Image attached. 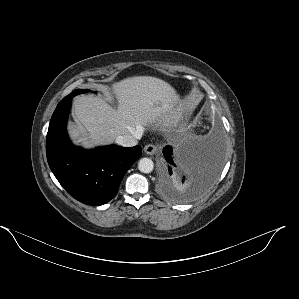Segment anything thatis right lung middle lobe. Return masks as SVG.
<instances>
[{
	"instance_id": "right-lung-middle-lobe-1",
	"label": "right lung middle lobe",
	"mask_w": 299,
	"mask_h": 299,
	"mask_svg": "<svg viewBox=\"0 0 299 299\" xmlns=\"http://www.w3.org/2000/svg\"><path fill=\"white\" fill-rule=\"evenodd\" d=\"M88 91L89 90H87V89L75 90L71 94H69L68 97H74L75 95L86 93Z\"/></svg>"
}]
</instances>
